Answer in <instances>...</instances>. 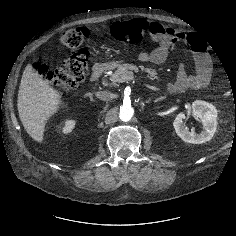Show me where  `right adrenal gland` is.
<instances>
[{
    "instance_id": "2a0ac1e0",
    "label": "right adrenal gland",
    "mask_w": 236,
    "mask_h": 236,
    "mask_svg": "<svg viewBox=\"0 0 236 236\" xmlns=\"http://www.w3.org/2000/svg\"><path fill=\"white\" fill-rule=\"evenodd\" d=\"M87 96H89V98H90L91 101H93V102L95 101V100H93V97H92V95H91L90 93L87 94Z\"/></svg>"
}]
</instances>
